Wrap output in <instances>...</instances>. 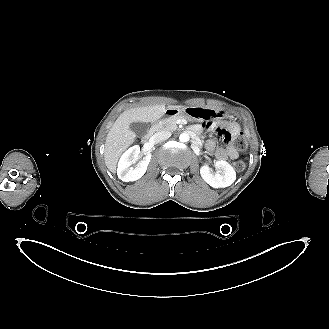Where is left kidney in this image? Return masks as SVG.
Instances as JSON below:
<instances>
[{"label":"left kidney","mask_w":329,"mask_h":329,"mask_svg":"<svg viewBox=\"0 0 329 329\" xmlns=\"http://www.w3.org/2000/svg\"><path fill=\"white\" fill-rule=\"evenodd\" d=\"M214 166L217 169L216 173H212L207 165L200 168L201 177L211 187L225 188L230 186L236 180V172L228 162L217 160L214 162Z\"/></svg>","instance_id":"1"}]
</instances>
